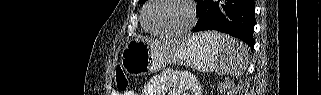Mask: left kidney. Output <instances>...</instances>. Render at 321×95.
Masks as SVG:
<instances>
[{"instance_id": "obj_1", "label": "left kidney", "mask_w": 321, "mask_h": 95, "mask_svg": "<svg viewBox=\"0 0 321 95\" xmlns=\"http://www.w3.org/2000/svg\"><path fill=\"white\" fill-rule=\"evenodd\" d=\"M220 91L224 92V94L226 93L227 95H234L235 93V90H232V88H229V87L220 88Z\"/></svg>"}]
</instances>
